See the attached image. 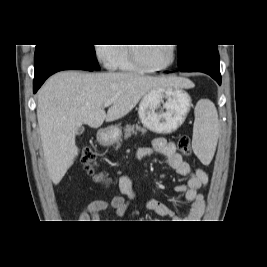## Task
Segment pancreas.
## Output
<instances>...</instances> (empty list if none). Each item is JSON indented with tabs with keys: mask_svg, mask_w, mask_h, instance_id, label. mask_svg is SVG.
Segmentation results:
<instances>
[{
	"mask_svg": "<svg viewBox=\"0 0 267 267\" xmlns=\"http://www.w3.org/2000/svg\"><path fill=\"white\" fill-rule=\"evenodd\" d=\"M137 131L142 132L143 134L146 132L145 128H141L138 125H127L126 128L124 129L125 136L124 138L127 139L130 137L132 134H137ZM121 146L120 142H117L116 149H118Z\"/></svg>",
	"mask_w": 267,
	"mask_h": 267,
	"instance_id": "pancreas-1",
	"label": "pancreas"
}]
</instances>
